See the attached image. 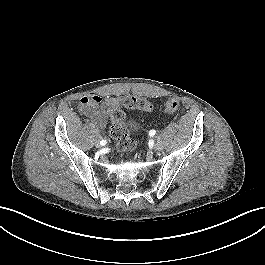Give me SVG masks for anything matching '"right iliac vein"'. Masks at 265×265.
<instances>
[{"mask_svg":"<svg viewBox=\"0 0 265 265\" xmlns=\"http://www.w3.org/2000/svg\"><path fill=\"white\" fill-rule=\"evenodd\" d=\"M96 147L100 148L101 144L99 142L96 143Z\"/></svg>","mask_w":265,"mask_h":265,"instance_id":"63e3f726","label":"right iliac vein"}]
</instances>
